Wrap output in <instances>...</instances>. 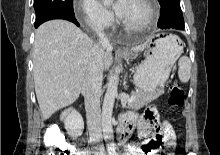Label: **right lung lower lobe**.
<instances>
[{
  "mask_svg": "<svg viewBox=\"0 0 220 155\" xmlns=\"http://www.w3.org/2000/svg\"><path fill=\"white\" fill-rule=\"evenodd\" d=\"M52 19H65V20L71 21L74 24H76L77 26H79V23L77 22V20L75 18V15H70V14H67L64 12H55V13L48 14L40 19H37L35 22V28H37L42 23H44L48 20H52Z\"/></svg>",
  "mask_w": 220,
  "mask_h": 155,
  "instance_id": "1",
  "label": "right lung lower lobe"
}]
</instances>
